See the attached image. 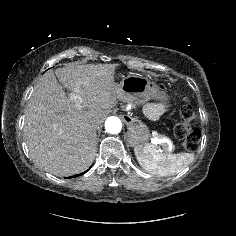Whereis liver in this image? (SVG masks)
I'll return each instance as SVG.
<instances>
[{
	"mask_svg": "<svg viewBox=\"0 0 236 236\" xmlns=\"http://www.w3.org/2000/svg\"><path fill=\"white\" fill-rule=\"evenodd\" d=\"M118 64H87L46 72L34 87L25 113L24 134L34 162L57 176L89 168L96 155V130L125 96L114 81ZM58 79H57V78ZM69 93H65L60 83ZM81 98L77 108L70 94Z\"/></svg>",
	"mask_w": 236,
	"mask_h": 236,
	"instance_id": "liver-1",
	"label": "liver"
}]
</instances>
